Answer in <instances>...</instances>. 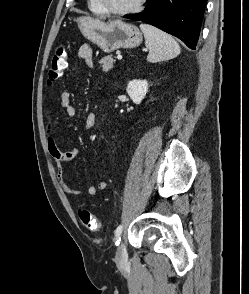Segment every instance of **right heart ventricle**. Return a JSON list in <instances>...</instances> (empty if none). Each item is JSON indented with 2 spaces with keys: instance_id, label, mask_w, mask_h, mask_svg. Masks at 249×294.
Segmentation results:
<instances>
[{
  "instance_id": "obj_1",
  "label": "right heart ventricle",
  "mask_w": 249,
  "mask_h": 294,
  "mask_svg": "<svg viewBox=\"0 0 249 294\" xmlns=\"http://www.w3.org/2000/svg\"><path fill=\"white\" fill-rule=\"evenodd\" d=\"M89 9L95 14H103L104 12L97 4L96 0H88Z\"/></svg>"
}]
</instances>
